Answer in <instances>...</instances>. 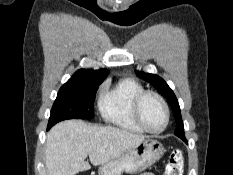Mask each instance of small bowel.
Wrapping results in <instances>:
<instances>
[{"mask_svg":"<svg viewBox=\"0 0 233 175\" xmlns=\"http://www.w3.org/2000/svg\"><path fill=\"white\" fill-rule=\"evenodd\" d=\"M142 175H153L152 173H144Z\"/></svg>","mask_w":233,"mask_h":175,"instance_id":"c3829d8e","label":"small bowel"}]
</instances>
